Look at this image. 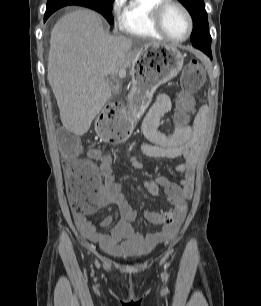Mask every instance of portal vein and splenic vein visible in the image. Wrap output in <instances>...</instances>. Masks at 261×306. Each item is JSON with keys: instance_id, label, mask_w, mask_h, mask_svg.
<instances>
[{"instance_id": "1", "label": "portal vein and splenic vein", "mask_w": 261, "mask_h": 306, "mask_svg": "<svg viewBox=\"0 0 261 306\" xmlns=\"http://www.w3.org/2000/svg\"><path fill=\"white\" fill-rule=\"evenodd\" d=\"M123 73H124V70L121 69V70L119 71V74L122 75Z\"/></svg>"}]
</instances>
